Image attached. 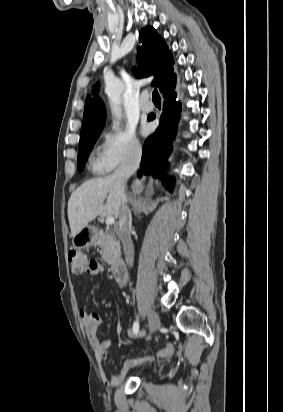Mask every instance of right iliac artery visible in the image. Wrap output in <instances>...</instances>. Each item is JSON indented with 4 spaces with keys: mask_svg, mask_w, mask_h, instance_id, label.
<instances>
[{
    "mask_svg": "<svg viewBox=\"0 0 283 412\" xmlns=\"http://www.w3.org/2000/svg\"><path fill=\"white\" fill-rule=\"evenodd\" d=\"M133 331H134V334H137V333L139 332V324H138V322H135V323L133 324Z\"/></svg>",
    "mask_w": 283,
    "mask_h": 412,
    "instance_id": "obj_1",
    "label": "right iliac artery"
}]
</instances>
